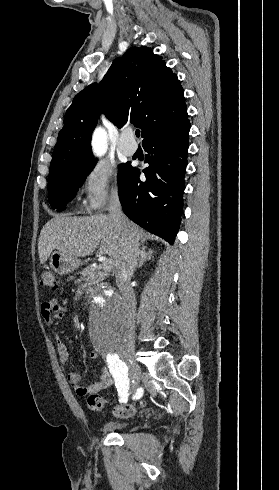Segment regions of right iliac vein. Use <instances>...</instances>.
<instances>
[{"instance_id": "63e3f726", "label": "right iliac vein", "mask_w": 279, "mask_h": 490, "mask_svg": "<svg viewBox=\"0 0 279 490\" xmlns=\"http://www.w3.org/2000/svg\"><path fill=\"white\" fill-rule=\"evenodd\" d=\"M122 359H124L126 361V363L128 364L129 368H130V371L136 375L139 371H140V368L137 364V362L135 361L134 358L130 357V355H126V357H121ZM129 358V360H128Z\"/></svg>"}]
</instances>
